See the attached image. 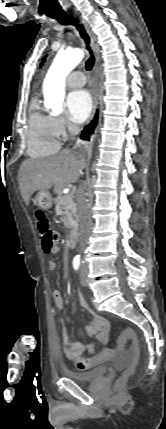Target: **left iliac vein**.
Instances as JSON below:
<instances>
[{
    "instance_id": "left-iliac-vein-1",
    "label": "left iliac vein",
    "mask_w": 166,
    "mask_h": 429,
    "mask_svg": "<svg viewBox=\"0 0 166 429\" xmlns=\"http://www.w3.org/2000/svg\"><path fill=\"white\" fill-rule=\"evenodd\" d=\"M80 283L84 287L87 286L86 269L84 266H81L80 269Z\"/></svg>"
}]
</instances>
